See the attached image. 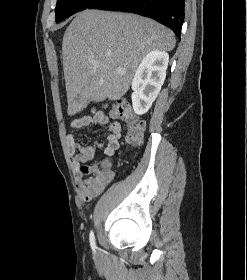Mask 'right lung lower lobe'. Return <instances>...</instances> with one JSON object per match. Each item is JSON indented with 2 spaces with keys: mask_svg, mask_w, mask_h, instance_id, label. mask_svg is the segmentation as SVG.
<instances>
[{
  "mask_svg": "<svg viewBox=\"0 0 247 280\" xmlns=\"http://www.w3.org/2000/svg\"><path fill=\"white\" fill-rule=\"evenodd\" d=\"M89 8L147 16L171 28L179 38L184 21V0H98Z\"/></svg>",
  "mask_w": 247,
  "mask_h": 280,
  "instance_id": "1",
  "label": "right lung lower lobe"
}]
</instances>
